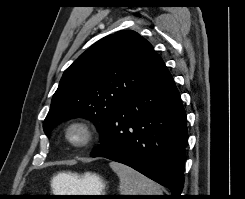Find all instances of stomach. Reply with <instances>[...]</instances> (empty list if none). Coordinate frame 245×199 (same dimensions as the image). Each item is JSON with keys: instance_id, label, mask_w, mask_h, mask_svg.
<instances>
[{"instance_id": "stomach-1", "label": "stomach", "mask_w": 245, "mask_h": 199, "mask_svg": "<svg viewBox=\"0 0 245 199\" xmlns=\"http://www.w3.org/2000/svg\"><path fill=\"white\" fill-rule=\"evenodd\" d=\"M53 186L59 195H104L103 179L95 173L83 175L59 173L53 178Z\"/></svg>"}]
</instances>
